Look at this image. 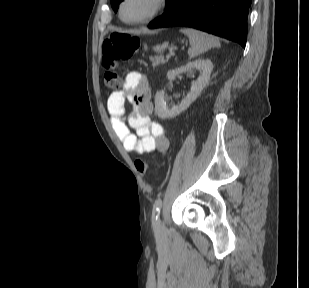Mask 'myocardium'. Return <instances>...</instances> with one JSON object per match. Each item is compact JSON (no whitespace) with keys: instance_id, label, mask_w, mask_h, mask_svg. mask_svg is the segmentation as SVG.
<instances>
[{"instance_id":"myocardium-1","label":"myocardium","mask_w":309,"mask_h":288,"mask_svg":"<svg viewBox=\"0 0 309 288\" xmlns=\"http://www.w3.org/2000/svg\"><path fill=\"white\" fill-rule=\"evenodd\" d=\"M128 2V0H122L120 6H119V17L120 19L127 25H141L148 23L158 16L162 15L166 9L168 8L169 0H153L154 5L152 10L148 15L143 17L142 19L135 20V21H128L124 18L123 11L125 4Z\"/></svg>"}]
</instances>
